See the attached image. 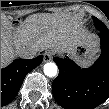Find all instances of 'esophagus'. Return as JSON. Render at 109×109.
I'll return each instance as SVG.
<instances>
[{
	"label": "esophagus",
	"mask_w": 109,
	"mask_h": 109,
	"mask_svg": "<svg viewBox=\"0 0 109 109\" xmlns=\"http://www.w3.org/2000/svg\"><path fill=\"white\" fill-rule=\"evenodd\" d=\"M52 58L53 54L50 51L44 53V62H49Z\"/></svg>",
	"instance_id": "34e87169"
}]
</instances>
